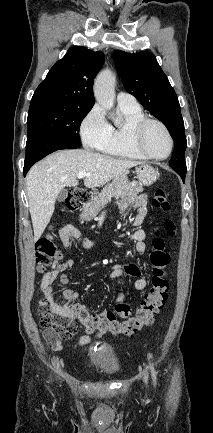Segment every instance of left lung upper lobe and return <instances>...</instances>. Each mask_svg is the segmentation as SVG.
Returning <instances> with one entry per match:
<instances>
[{
  "mask_svg": "<svg viewBox=\"0 0 213 433\" xmlns=\"http://www.w3.org/2000/svg\"><path fill=\"white\" fill-rule=\"evenodd\" d=\"M113 59L126 91L135 96L168 129L174 140L170 166L186 172L187 141L177 95L156 57L150 52L127 53L117 50Z\"/></svg>",
  "mask_w": 213,
  "mask_h": 433,
  "instance_id": "5c2ea615",
  "label": "left lung upper lobe"
}]
</instances>
